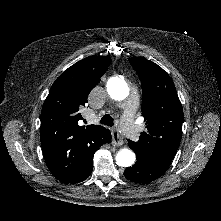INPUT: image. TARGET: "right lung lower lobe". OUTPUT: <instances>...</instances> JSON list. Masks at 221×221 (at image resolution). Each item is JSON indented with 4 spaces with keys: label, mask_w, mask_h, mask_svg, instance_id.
Returning a JSON list of instances; mask_svg holds the SVG:
<instances>
[{
    "label": "right lung lower lobe",
    "mask_w": 221,
    "mask_h": 221,
    "mask_svg": "<svg viewBox=\"0 0 221 221\" xmlns=\"http://www.w3.org/2000/svg\"><path fill=\"white\" fill-rule=\"evenodd\" d=\"M110 142H111V133L109 131L106 143H110ZM96 151L97 150L89 153L78 176L73 181H71L69 184H74V183L84 181L85 179H87L89 177V175L91 174V172L93 170V155Z\"/></svg>",
    "instance_id": "right-lung-lower-lobe-1"
}]
</instances>
